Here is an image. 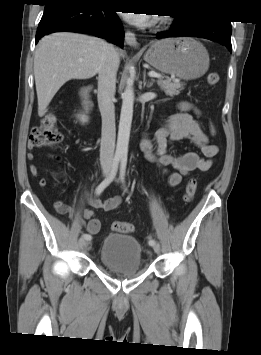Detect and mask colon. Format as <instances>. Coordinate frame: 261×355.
<instances>
[{
  "label": "colon",
  "instance_id": "1",
  "mask_svg": "<svg viewBox=\"0 0 261 355\" xmlns=\"http://www.w3.org/2000/svg\"><path fill=\"white\" fill-rule=\"evenodd\" d=\"M219 81V75L212 72L207 77L209 85H215ZM211 133L214 134V128L211 125ZM63 141V135L59 131L56 121L52 117H46L42 122L33 128L30 135V142L35 146H56ZM197 189L195 179L188 180L185 188V201H192ZM112 230L117 233H131L134 231V225L128 222H114Z\"/></svg>",
  "mask_w": 261,
  "mask_h": 355
}]
</instances>
